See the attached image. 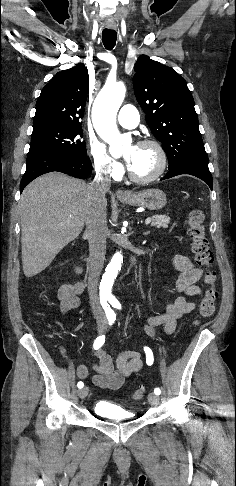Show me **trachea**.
Listing matches in <instances>:
<instances>
[{"label": "trachea", "mask_w": 236, "mask_h": 486, "mask_svg": "<svg viewBox=\"0 0 236 486\" xmlns=\"http://www.w3.org/2000/svg\"><path fill=\"white\" fill-rule=\"evenodd\" d=\"M102 40L107 50H112L116 44L117 33L115 30L104 29L102 32Z\"/></svg>", "instance_id": "trachea-1"}]
</instances>
